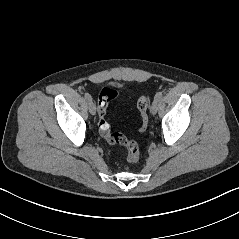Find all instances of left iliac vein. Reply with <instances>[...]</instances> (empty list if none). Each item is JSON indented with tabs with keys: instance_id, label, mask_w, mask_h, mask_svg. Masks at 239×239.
Here are the masks:
<instances>
[{
	"instance_id": "1",
	"label": "left iliac vein",
	"mask_w": 239,
	"mask_h": 239,
	"mask_svg": "<svg viewBox=\"0 0 239 239\" xmlns=\"http://www.w3.org/2000/svg\"><path fill=\"white\" fill-rule=\"evenodd\" d=\"M158 101L157 99H154L153 102H152V105H151V113L153 115H155L157 113V110H158Z\"/></svg>"
}]
</instances>
